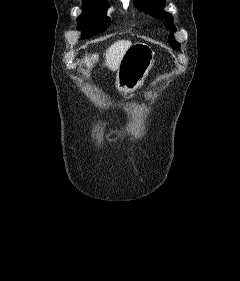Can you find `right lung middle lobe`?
<instances>
[{"label": "right lung middle lobe", "instance_id": "dd1d6c3e", "mask_svg": "<svg viewBox=\"0 0 240 281\" xmlns=\"http://www.w3.org/2000/svg\"><path fill=\"white\" fill-rule=\"evenodd\" d=\"M108 7L109 4L105 0H84L83 13L77 19V29L82 31L81 39L107 29L111 20L106 16Z\"/></svg>", "mask_w": 240, "mask_h": 281}]
</instances>
